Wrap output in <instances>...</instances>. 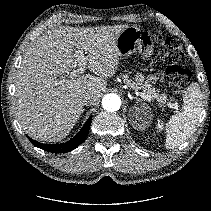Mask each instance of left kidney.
Masks as SVG:
<instances>
[{"instance_id":"1","label":"left kidney","mask_w":211,"mask_h":211,"mask_svg":"<svg viewBox=\"0 0 211 211\" xmlns=\"http://www.w3.org/2000/svg\"><path fill=\"white\" fill-rule=\"evenodd\" d=\"M148 115V114H147ZM150 120H151V117L150 116H147L146 118H144L142 124L140 125V128H145L146 126H148L150 124ZM162 123L158 121V130L161 131L162 130Z\"/></svg>"}]
</instances>
